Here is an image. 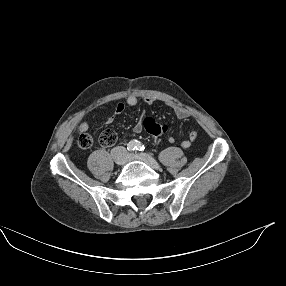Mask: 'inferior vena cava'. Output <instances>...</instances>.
<instances>
[{"label":"inferior vena cava","instance_id":"obj_1","mask_svg":"<svg viewBox=\"0 0 286 286\" xmlns=\"http://www.w3.org/2000/svg\"><path fill=\"white\" fill-rule=\"evenodd\" d=\"M112 153L117 160L125 161L128 152L125 147L118 146L113 148Z\"/></svg>","mask_w":286,"mask_h":286}]
</instances>
